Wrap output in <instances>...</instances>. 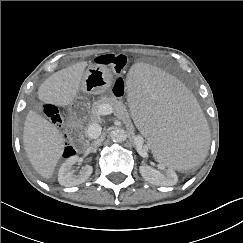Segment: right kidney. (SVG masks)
Instances as JSON below:
<instances>
[{
  "label": "right kidney",
  "mask_w": 243,
  "mask_h": 243,
  "mask_svg": "<svg viewBox=\"0 0 243 243\" xmlns=\"http://www.w3.org/2000/svg\"><path fill=\"white\" fill-rule=\"evenodd\" d=\"M79 161L77 155L69 157L60 167L58 172V181L62 186L71 187L85 182L92 174L93 168L86 165L79 174H75L73 165Z\"/></svg>",
  "instance_id": "1"
}]
</instances>
